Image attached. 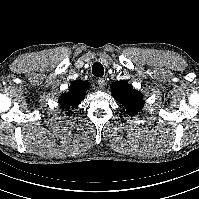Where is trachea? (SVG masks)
<instances>
[{"mask_svg":"<svg viewBox=\"0 0 199 199\" xmlns=\"http://www.w3.org/2000/svg\"><path fill=\"white\" fill-rule=\"evenodd\" d=\"M92 73L96 77H102L104 74V68L101 63L95 62L92 66Z\"/></svg>","mask_w":199,"mask_h":199,"instance_id":"trachea-1","label":"trachea"}]
</instances>
